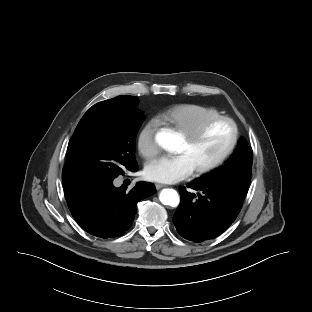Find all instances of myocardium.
Here are the masks:
<instances>
[{
    "mask_svg": "<svg viewBox=\"0 0 312 312\" xmlns=\"http://www.w3.org/2000/svg\"><path fill=\"white\" fill-rule=\"evenodd\" d=\"M218 122H227L232 126L233 135H232L231 142L229 143L226 150L219 157H217L215 160H213V161H211L205 165H202L200 167L195 168V172L197 174H204V173L210 172V171L216 169L217 167H219L221 164H223L229 158V156L233 153L234 149L236 148L238 140H239V127H238L237 122L233 118H231L229 116H225V115H219V116H216V117H213V118L207 120L205 123H203L196 130H194L190 133L184 134V138L187 140V142L189 144H193L196 141H198L201 137H203L207 133V131L214 124H216Z\"/></svg>",
    "mask_w": 312,
    "mask_h": 312,
    "instance_id": "myocardium-1",
    "label": "myocardium"
}]
</instances>
